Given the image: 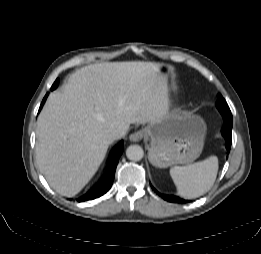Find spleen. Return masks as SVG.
Instances as JSON below:
<instances>
[{
  "instance_id": "1",
  "label": "spleen",
  "mask_w": 261,
  "mask_h": 254,
  "mask_svg": "<svg viewBox=\"0 0 261 254\" xmlns=\"http://www.w3.org/2000/svg\"><path fill=\"white\" fill-rule=\"evenodd\" d=\"M217 172L218 158L216 156L170 169L178 194L186 199L197 198L206 193L214 184Z\"/></svg>"
}]
</instances>
